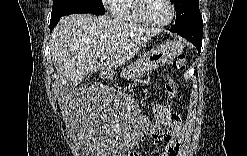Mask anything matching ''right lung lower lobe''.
Wrapping results in <instances>:
<instances>
[{
  "label": "right lung lower lobe",
  "instance_id": "98d812e1",
  "mask_svg": "<svg viewBox=\"0 0 247 156\" xmlns=\"http://www.w3.org/2000/svg\"><path fill=\"white\" fill-rule=\"evenodd\" d=\"M59 22V20L57 21H50V32L53 30V28L56 26V24Z\"/></svg>",
  "mask_w": 247,
  "mask_h": 156
}]
</instances>
